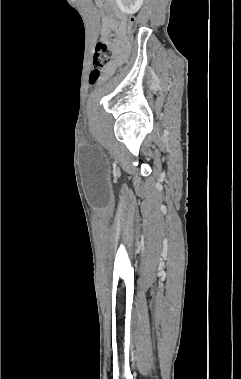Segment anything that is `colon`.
Listing matches in <instances>:
<instances>
[{
    "mask_svg": "<svg viewBox=\"0 0 241 379\" xmlns=\"http://www.w3.org/2000/svg\"><path fill=\"white\" fill-rule=\"evenodd\" d=\"M110 11H112V8H110ZM129 22L127 24V29H132L133 24L135 22L134 19V14H129ZM132 31V30H130ZM127 38L129 40H134L136 38V33L135 32H128L127 33ZM116 40V36L112 34L107 40H101L95 48L94 51V67L90 73L89 80L91 83H96L97 81L100 80L103 72L106 71L107 66L109 64L110 58H111V45L112 43Z\"/></svg>",
    "mask_w": 241,
    "mask_h": 379,
    "instance_id": "5ec220e1",
    "label": "colon"
}]
</instances>
